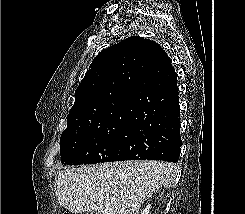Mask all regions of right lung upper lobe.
Masks as SVG:
<instances>
[{
  "label": "right lung upper lobe",
  "mask_w": 245,
  "mask_h": 214,
  "mask_svg": "<svg viewBox=\"0 0 245 214\" xmlns=\"http://www.w3.org/2000/svg\"><path fill=\"white\" fill-rule=\"evenodd\" d=\"M169 62L158 43L142 37H129L104 49L75 92L66 129L133 122L141 111L140 97L156 95L165 86Z\"/></svg>",
  "instance_id": "obj_1"
}]
</instances>
